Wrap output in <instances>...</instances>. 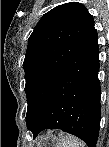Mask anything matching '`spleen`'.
Segmentation results:
<instances>
[{
    "label": "spleen",
    "mask_w": 109,
    "mask_h": 147,
    "mask_svg": "<svg viewBox=\"0 0 109 147\" xmlns=\"http://www.w3.org/2000/svg\"><path fill=\"white\" fill-rule=\"evenodd\" d=\"M63 143L61 147H86V144L79 138L70 134L62 133Z\"/></svg>",
    "instance_id": "3e777b00"
}]
</instances>
